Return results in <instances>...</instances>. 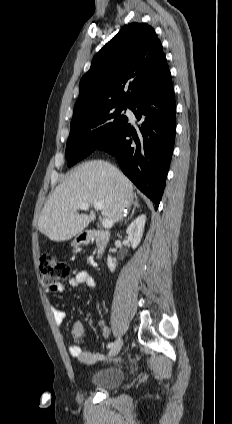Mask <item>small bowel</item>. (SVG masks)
Returning <instances> with one entry per match:
<instances>
[{"label":"small bowel","mask_w":232,"mask_h":424,"mask_svg":"<svg viewBox=\"0 0 232 424\" xmlns=\"http://www.w3.org/2000/svg\"><path fill=\"white\" fill-rule=\"evenodd\" d=\"M69 285L73 288L79 286L94 288L96 285V281L89 271L80 270L77 271L75 275L70 279ZM65 290L66 286L64 284H58L53 289V291L57 293H62ZM51 313L55 321L59 324L63 323L66 319V313L62 310L51 307ZM101 332L104 338H108L110 336L111 331L106 324L101 323ZM71 334L74 338V343L69 347V353L72 357L77 358L79 362L86 365L94 364L102 358V354L100 353H94L83 349L82 343L84 339V328L83 324L80 321L73 322L71 326Z\"/></svg>","instance_id":"1"}]
</instances>
